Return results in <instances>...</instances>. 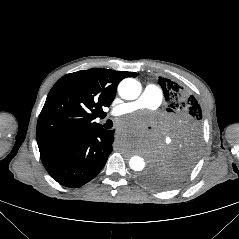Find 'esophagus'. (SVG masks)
I'll list each match as a JSON object with an SVG mask.
<instances>
[{"label":"esophagus","mask_w":239,"mask_h":239,"mask_svg":"<svg viewBox=\"0 0 239 239\" xmlns=\"http://www.w3.org/2000/svg\"><path fill=\"white\" fill-rule=\"evenodd\" d=\"M112 137H113V139L118 140V139H120L121 134H120V132L115 131V132H113Z\"/></svg>","instance_id":"esophagus-1"}]
</instances>
